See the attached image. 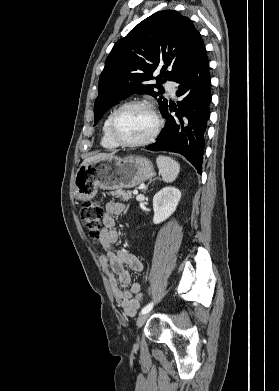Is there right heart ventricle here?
<instances>
[{"mask_svg":"<svg viewBox=\"0 0 279 391\" xmlns=\"http://www.w3.org/2000/svg\"><path fill=\"white\" fill-rule=\"evenodd\" d=\"M111 114L112 112L107 115V117L103 122L101 140H100L101 146L107 150H113L119 147V145H117L115 142L112 141L108 133V125H109V119Z\"/></svg>","mask_w":279,"mask_h":391,"instance_id":"1","label":"right heart ventricle"}]
</instances>
